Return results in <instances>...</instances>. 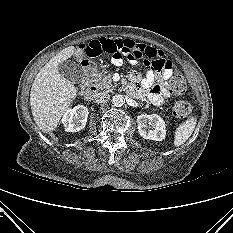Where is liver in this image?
<instances>
[{"label":"liver","mask_w":233,"mask_h":233,"mask_svg":"<svg viewBox=\"0 0 233 233\" xmlns=\"http://www.w3.org/2000/svg\"><path fill=\"white\" fill-rule=\"evenodd\" d=\"M74 53V46L60 51L40 69L32 84V115L44 133L57 128L61 117L77 97V88L58 71V65L71 58Z\"/></svg>","instance_id":"obj_1"}]
</instances>
